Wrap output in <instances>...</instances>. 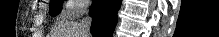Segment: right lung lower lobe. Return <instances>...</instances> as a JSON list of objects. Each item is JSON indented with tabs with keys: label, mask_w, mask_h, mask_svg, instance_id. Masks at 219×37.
<instances>
[{
	"label": "right lung lower lobe",
	"mask_w": 219,
	"mask_h": 37,
	"mask_svg": "<svg viewBox=\"0 0 219 37\" xmlns=\"http://www.w3.org/2000/svg\"><path fill=\"white\" fill-rule=\"evenodd\" d=\"M121 0H95L91 6L93 37H112Z\"/></svg>",
	"instance_id": "right-lung-lower-lobe-1"
}]
</instances>
